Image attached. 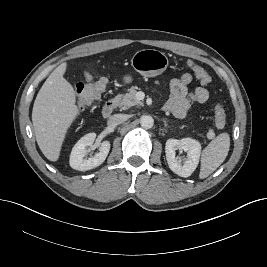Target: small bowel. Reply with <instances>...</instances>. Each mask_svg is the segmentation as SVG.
<instances>
[{"instance_id": "1", "label": "small bowel", "mask_w": 267, "mask_h": 267, "mask_svg": "<svg viewBox=\"0 0 267 267\" xmlns=\"http://www.w3.org/2000/svg\"><path fill=\"white\" fill-rule=\"evenodd\" d=\"M85 77L91 80L92 73L86 72ZM191 81L192 75L185 73L170 84V97L165 109L177 118H184L193 103H204L209 99V92L205 87L199 86L189 92L188 85Z\"/></svg>"}]
</instances>
